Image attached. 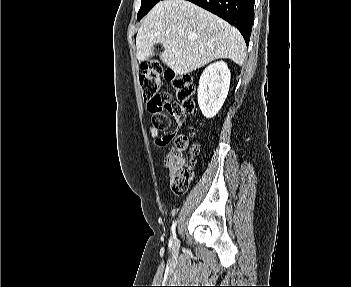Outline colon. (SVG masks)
<instances>
[{"label": "colon", "mask_w": 351, "mask_h": 287, "mask_svg": "<svg viewBox=\"0 0 351 287\" xmlns=\"http://www.w3.org/2000/svg\"><path fill=\"white\" fill-rule=\"evenodd\" d=\"M163 74L161 62L153 59L142 64L139 75L142 97L148 110L153 114L152 126L158 131L168 128L170 115L183 117L192 113L196 107L193 77L188 73L168 72L177 99V103L170 104V95L160 93ZM196 154L197 146L190 144L186 136L175 139L173 149L164 159L173 192L177 194L187 192L194 179L193 160Z\"/></svg>", "instance_id": "5ec220e1"}]
</instances>
